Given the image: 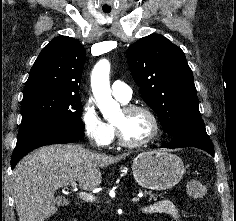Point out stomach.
<instances>
[{
	"label": "stomach",
	"instance_id": "1",
	"mask_svg": "<svg viewBox=\"0 0 236 221\" xmlns=\"http://www.w3.org/2000/svg\"><path fill=\"white\" fill-rule=\"evenodd\" d=\"M136 182L150 190H166L181 180L184 164L177 155L154 150L138 154L132 164Z\"/></svg>",
	"mask_w": 236,
	"mask_h": 221
}]
</instances>
